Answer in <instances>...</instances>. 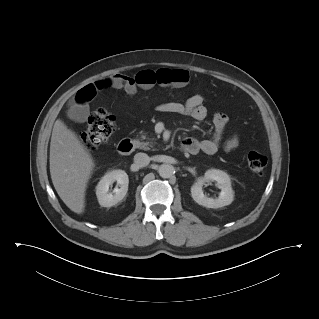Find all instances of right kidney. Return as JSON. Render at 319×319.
<instances>
[{
	"label": "right kidney",
	"mask_w": 319,
	"mask_h": 319,
	"mask_svg": "<svg viewBox=\"0 0 319 319\" xmlns=\"http://www.w3.org/2000/svg\"><path fill=\"white\" fill-rule=\"evenodd\" d=\"M117 182L113 192H109V187ZM129 178L123 170H112L107 172L99 181L96 187L98 202L103 207H111L120 202L128 191Z\"/></svg>",
	"instance_id": "right-kidney-1"
}]
</instances>
